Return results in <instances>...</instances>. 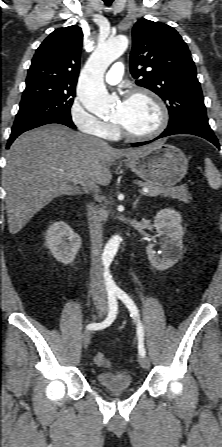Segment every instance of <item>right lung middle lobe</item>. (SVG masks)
I'll return each instance as SVG.
<instances>
[{"instance_id": "right-lung-middle-lobe-1", "label": "right lung middle lobe", "mask_w": 222, "mask_h": 447, "mask_svg": "<svg viewBox=\"0 0 222 447\" xmlns=\"http://www.w3.org/2000/svg\"><path fill=\"white\" fill-rule=\"evenodd\" d=\"M75 87L51 85L26 88L12 132L24 130L55 118L71 119Z\"/></svg>"}]
</instances>
